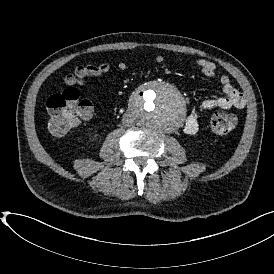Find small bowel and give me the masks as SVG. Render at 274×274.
I'll use <instances>...</instances> for the list:
<instances>
[{"label": "small bowel", "mask_w": 274, "mask_h": 274, "mask_svg": "<svg viewBox=\"0 0 274 274\" xmlns=\"http://www.w3.org/2000/svg\"><path fill=\"white\" fill-rule=\"evenodd\" d=\"M165 58L162 55L154 57L156 64L164 63ZM196 67L208 78L217 77V67L214 62L206 59H199L195 63ZM117 68L120 71H128L129 65L127 62L120 61L117 63ZM112 70V67L108 63H100L98 65H87L84 68V75L87 77H102L108 75ZM218 81L221 84L224 96L212 99L204 100L199 107L192 111L186 118L184 124V132L188 135H194L199 130V120L203 113L213 110L222 109L227 110L230 108L242 109L246 104L244 94L233 86L230 78L226 75L218 76ZM78 84L89 89L87 83L80 79Z\"/></svg>", "instance_id": "obj_1"}]
</instances>
